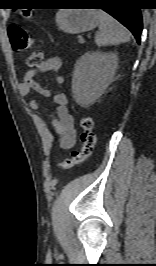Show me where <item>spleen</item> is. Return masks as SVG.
Segmentation results:
<instances>
[{
    "instance_id": "1",
    "label": "spleen",
    "mask_w": 156,
    "mask_h": 266,
    "mask_svg": "<svg viewBox=\"0 0 156 266\" xmlns=\"http://www.w3.org/2000/svg\"><path fill=\"white\" fill-rule=\"evenodd\" d=\"M99 19V30L95 35L97 46H111L130 40L127 30L112 16L102 10L96 11Z\"/></svg>"
}]
</instances>
